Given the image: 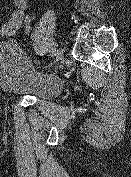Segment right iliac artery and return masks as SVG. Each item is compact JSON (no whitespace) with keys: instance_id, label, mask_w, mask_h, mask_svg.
Segmentation results:
<instances>
[{"instance_id":"1","label":"right iliac artery","mask_w":131,"mask_h":177,"mask_svg":"<svg viewBox=\"0 0 131 177\" xmlns=\"http://www.w3.org/2000/svg\"><path fill=\"white\" fill-rule=\"evenodd\" d=\"M55 52H56V50L54 48L49 50V53L51 54V57H54Z\"/></svg>"}]
</instances>
